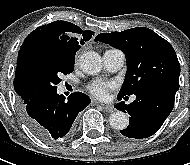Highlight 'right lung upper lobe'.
Returning a JSON list of instances; mask_svg holds the SVG:
<instances>
[{
  "label": "right lung upper lobe",
  "mask_w": 190,
  "mask_h": 165,
  "mask_svg": "<svg viewBox=\"0 0 190 165\" xmlns=\"http://www.w3.org/2000/svg\"><path fill=\"white\" fill-rule=\"evenodd\" d=\"M93 32L83 31L78 26L67 21H55L47 25L38 27L32 31L24 40L17 59L16 74L14 79V88L17 94L22 97V78L20 71V59L25 46L32 40H42L54 44H58L70 51H75L92 37ZM26 100V99H24Z\"/></svg>",
  "instance_id": "1"
}]
</instances>
